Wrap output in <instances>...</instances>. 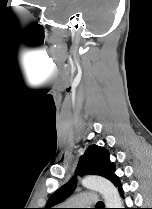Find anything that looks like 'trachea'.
Listing matches in <instances>:
<instances>
[{"instance_id":"trachea-1","label":"trachea","mask_w":152,"mask_h":209,"mask_svg":"<svg viewBox=\"0 0 152 209\" xmlns=\"http://www.w3.org/2000/svg\"><path fill=\"white\" fill-rule=\"evenodd\" d=\"M102 206H104V203L102 201L98 202L97 205H96L97 208H100Z\"/></svg>"}]
</instances>
